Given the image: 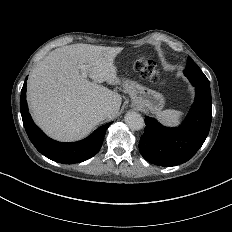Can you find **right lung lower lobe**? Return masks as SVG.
Here are the masks:
<instances>
[{"label": "right lung lower lobe", "instance_id": "98d812e1", "mask_svg": "<svg viewBox=\"0 0 232 232\" xmlns=\"http://www.w3.org/2000/svg\"><path fill=\"white\" fill-rule=\"evenodd\" d=\"M20 111L26 133L37 150L47 158L63 164L83 162L96 155L102 146L106 130L112 123L101 126L88 138L78 142L62 143L54 141L34 124L28 112L26 81L21 90Z\"/></svg>", "mask_w": 232, "mask_h": 232}]
</instances>
